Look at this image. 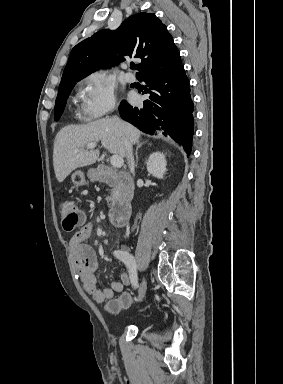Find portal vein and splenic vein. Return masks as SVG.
I'll use <instances>...</instances> for the list:
<instances>
[{
	"mask_svg": "<svg viewBox=\"0 0 283 384\" xmlns=\"http://www.w3.org/2000/svg\"><path fill=\"white\" fill-rule=\"evenodd\" d=\"M95 146L96 144H87L88 150H92V148H95ZM74 152H79V150H74ZM111 164L113 168H122L124 164L123 158H121V156H112Z\"/></svg>",
	"mask_w": 283,
	"mask_h": 384,
	"instance_id": "portal-vein-and-splenic-vein-1",
	"label": "portal vein and splenic vein"
}]
</instances>
